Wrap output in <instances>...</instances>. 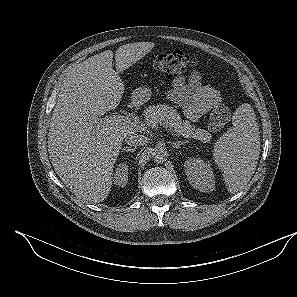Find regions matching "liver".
<instances>
[{
    "label": "liver",
    "instance_id": "6515ba94",
    "mask_svg": "<svg viewBox=\"0 0 297 297\" xmlns=\"http://www.w3.org/2000/svg\"><path fill=\"white\" fill-rule=\"evenodd\" d=\"M153 42L120 46L116 68L123 71L142 59ZM113 52L89 57L70 70L63 80L48 133V152L54 170L67 188L84 201L99 203L108 195L113 168L128 125H100L98 116L115 109L125 87L113 69Z\"/></svg>",
    "mask_w": 297,
    "mask_h": 297
}]
</instances>
